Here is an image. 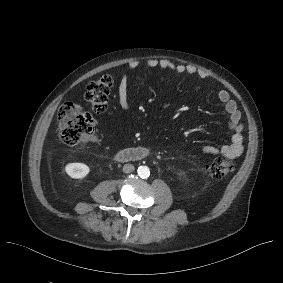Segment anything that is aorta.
<instances>
[{
  "mask_svg": "<svg viewBox=\"0 0 283 283\" xmlns=\"http://www.w3.org/2000/svg\"><path fill=\"white\" fill-rule=\"evenodd\" d=\"M138 176L141 178H147L150 176V169L147 166H140L137 169Z\"/></svg>",
  "mask_w": 283,
  "mask_h": 283,
  "instance_id": "762f6f07",
  "label": "aorta"
}]
</instances>
